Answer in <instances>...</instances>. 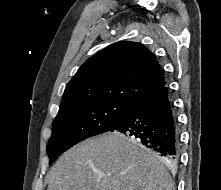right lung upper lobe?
<instances>
[{"instance_id":"obj_1","label":"right lung upper lobe","mask_w":221,"mask_h":190,"mask_svg":"<svg viewBox=\"0 0 221 190\" xmlns=\"http://www.w3.org/2000/svg\"><path fill=\"white\" fill-rule=\"evenodd\" d=\"M166 85L155 56L136 42L112 44L89 58L70 80L60 108L116 100L130 105Z\"/></svg>"}]
</instances>
